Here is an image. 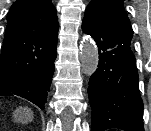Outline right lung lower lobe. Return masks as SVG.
I'll return each mask as SVG.
<instances>
[{
  "label": "right lung lower lobe",
  "instance_id": "obj_1",
  "mask_svg": "<svg viewBox=\"0 0 151 131\" xmlns=\"http://www.w3.org/2000/svg\"><path fill=\"white\" fill-rule=\"evenodd\" d=\"M56 55L55 47L41 69L7 87H0V96H21L43 109L54 73Z\"/></svg>",
  "mask_w": 151,
  "mask_h": 131
}]
</instances>
